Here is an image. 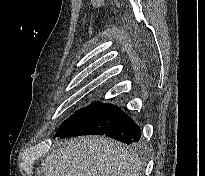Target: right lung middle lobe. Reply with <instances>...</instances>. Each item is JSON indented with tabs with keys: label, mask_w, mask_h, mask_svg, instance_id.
I'll return each mask as SVG.
<instances>
[{
	"label": "right lung middle lobe",
	"mask_w": 205,
	"mask_h": 176,
	"mask_svg": "<svg viewBox=\"0 0 205 176\" xmlns=\"http://www.w3.org/2000/svg\"><path fill=\"white\" fill-rule=\"evenodd\" d=\"M125 117V113L111 104L94 102L78 110L57 130L56 136L73 137L87 134L103 135Z\"/></svg>",
	"instance_id": "right-lung-middle-lobe-1"
}]
</instances>
